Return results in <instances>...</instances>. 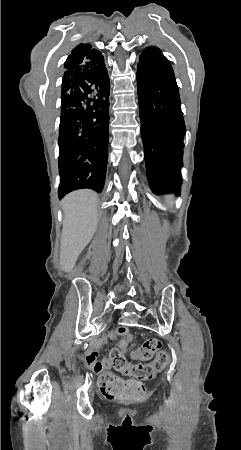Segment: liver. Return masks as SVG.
<instances>
[{"instance_id":"1","label":"liver","mask_w":241,"mask_h":450,"mask_svg":"<svg viewBox=\"0 0 241 450\" xmlns=\"http://www.w3.org/2000/svg\"><path fill=\"white\" fill-rule=\"evenodd\" d=\"M98 196L93 190H76L61 200L64 212L60 264L63 272H71L75 262L91 242L97 226Z\"/></svg>"}]
</instances>
